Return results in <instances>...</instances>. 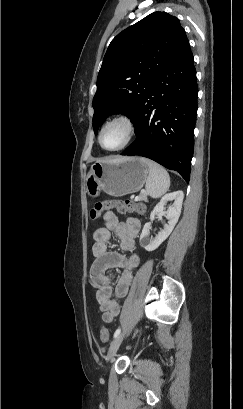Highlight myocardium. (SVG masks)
I'll return each instance as SVG.
<instances>
[{"mask_svg": "<svg viewBox=\"0 0 243 409\" xmlns=\"http://www.w3.org/2000/svg\"><path fill=\"white\" fill-rule=\"evenodd\" d=\"M112 124H122L125 129H126V138L124 140V142L113 149H109L106 148L101 140L102 137V133L105 130V128H107L108 126L112 125ZM135 135V124L133 122V120L126 114H117L109 119H107L100 127L99 132H98V143L101 146L102 149L109 151V152H117L120 151L122 149H124L127 145H129V143L132 141V139L134 138Z\"/></svg>", "mask_w": 243, "mask_h": 409, "instance_id": "obj_1", "label": "myocardium"}]
</instances>
